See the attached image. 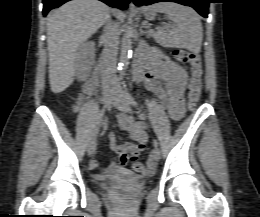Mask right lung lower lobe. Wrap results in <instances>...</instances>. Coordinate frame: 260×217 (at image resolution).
<instances>
[{"label": "right lung lower lobe", "mask_w": 260, "mask_h": 217, "mask_svg": "<svg viewBox=\"0 0 260 217\" xmlns=\"http://www.w3.org/2000/svg\"><path fill=\"white\" fill-rule=\"evenodd\" d=\"M70 0H43V15L46 14L53 8H57L63 3ZM111 7L119 8L121 10H125L127 8L128 3L131 0H100Z\"/></svg>", "instance_id": "obj_1"}]
</instances>
